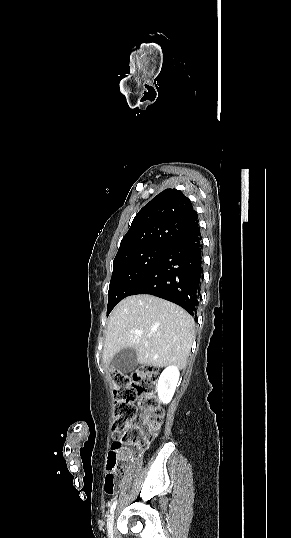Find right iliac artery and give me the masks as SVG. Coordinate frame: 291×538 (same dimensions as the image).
I'll list each match as a JSON object with an SVG mask.
<instances>
[{
  "instance_id": "obj_1",
  "label": "right iliac artery",
  "mask_w": 291,
  "mask_h": 538,
  "mask_svg": "<svg viewBox=\"0 0 291 538\" xmlns=\"http://www.w3.org/2000/svg\"><path fill=\"white\" fill-rule=\"evenodd\" d=\"M116 504H117V500H115L114 503L111 505L110 513H113V511L115 510Z\"/></svg>"
}]
</instances>
